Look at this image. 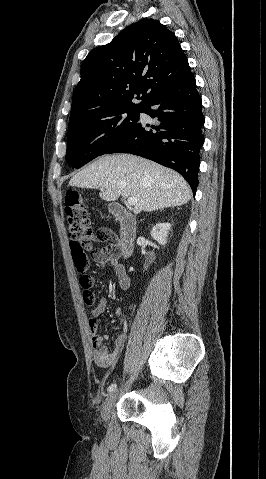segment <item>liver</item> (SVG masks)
Wrapping results in <instances>:
<instances>
[{
    "label": "liver",
    "instance_id": "6515ba94",
    "mask_svg": "<svg viewBox=\"0 0 266 479\" xmlns=\"http://www.w3.org/2000/svg\"><path fill=\"white\" fill-rule=\"evenodd\" d=\"M69 185L100 189L99 196L106 201H115L120 196L135 197V213L181 206L192 196L179 173L130 154L99 157L75 174Z\"/></svg>",
    "mask_w": 266,
    "mask_h": 479
}]
</instances>
